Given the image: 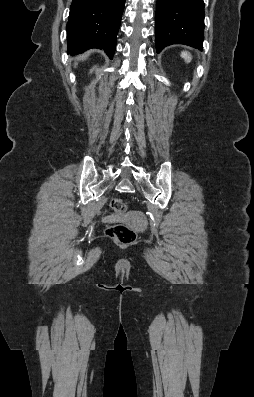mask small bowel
Segmentation results:
<instances>
[{
  "instance_id": "small-bowel-1",
  "label": "small bowel",
  "mask_w": 254,
  "mask_h": 397,
  "mask_svg": "<svg viewBox=\"0 0 254 397\" xmlns=\"http://www.w3.org/2000/svg\"><path fill=\"white\" fill-rule=\"evenodd\" d=\"M136 216V215H135ZM122 219L121 216L119 215H105L103 217V221L106 223H113V222H118Z\"/></svg>"
}]
</instances>
